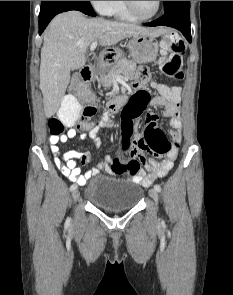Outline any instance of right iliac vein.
Wrapping results in <instances>:
<instances>
[{
	"instance_id": "1",
	"label": "right iliac vein",
	"mask_w": 233,
	"mask_h": 295,
	"mask_svg": "<svg viewBox=\"0 0 233 295\" xmlns=\"http://www.w3.org/2000/svg\"><path fill=\"white\" fill-rule=\"evenodd\" d=\"M80 197V191L78 190V188H76L73 192H72V199L73 202H76Z\"/></svg>"
}]
</instances>
